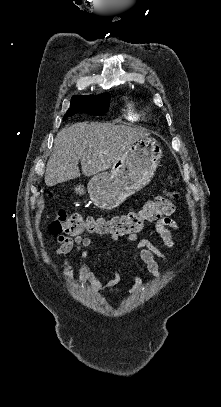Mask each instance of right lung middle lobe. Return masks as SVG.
I'll return each instance as SVG.
<instances>
[{"instance_id": "right-lung-middle-lobe-1", "label": "right lung middle lobe", "mask_w": 221, "mask_h": 407, "mask_svg": "<svg viewBox=\"0 0 221 407\" xmlns=\"http://www.w3.org/2000/svg\"><path fill=\"white\" fill-rule=\"evenodd\" d=\"M110 94L105 93L103 95H75L70 102V108L64 116H73L78 112L87 113L89 115L101 116L109 108Z\"/></svg>"}]
</instances>
